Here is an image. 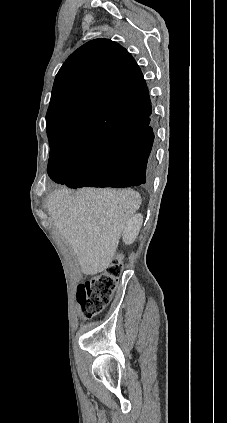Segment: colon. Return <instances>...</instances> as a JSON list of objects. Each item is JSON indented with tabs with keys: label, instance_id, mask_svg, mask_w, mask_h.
Listing matches in <instances>:
<instances>
[{
	"label": "colon",
	"instance_id": "5ec220e1",
	"mask_svg": "<svg viewBox=\"0 0 227 423\" xmlns=\"http://www.w3.org/2000/svg\"><path fill=\"white\" fill-rule=\"evenodd\" d=\"M122 273V258L118 256L105 271L80 285L77 292L80 316L90 319L99 314L111 300Z\"/></svg>",
	"mask_w": 227,
	"mask_h": 423
}]
</instances>
